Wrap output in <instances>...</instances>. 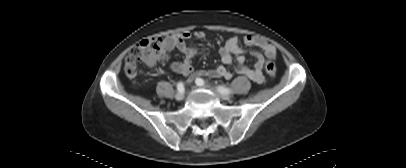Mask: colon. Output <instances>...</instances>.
I'll use <instances>...</instances> for the list:
<instances>
[{"label": "colon", "mask_w": 406, "mask_h": 168, "mask_svg": "<svg viewBox=\"0 0 406 168\" xmlns=\"http://www.w3.org/2000/svg\"><path fill=\"white\" fill-rule=\"evenodd\" d=\"M168 58V51L162 37L153 36L135 45L125 58L124 71L127 77L134 78L138 74L139 64L156 65ZM265 69L270 77H275L276 66L270 59L265 62Z\"/></svg>", "instance_id": "1"}]
</instances>
